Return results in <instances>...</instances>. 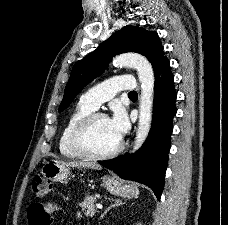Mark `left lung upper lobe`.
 <instances>
[{
	"instance_id": "left-lung-upper-lobe-1",
	"label": "left lung upper lobe",
	"mask_w": 228,
	"mask_h": 225,
	"mask_svg": "<svg viewBox=\"0 0 228 225\" xmlns=\"http://www.w3.org/2000/svg\"><path fill=\"white\" fill-rule=\"evenodd\" d=\"M136 52L144 55L155 69L165 58L163 46L156 32L137 26H125L100 44L92 53L77 61L73 66L59 112L65 110L77 94L101 74L116 54Z\"/></svg>"
}]
</instances>
